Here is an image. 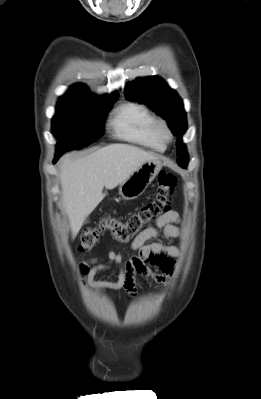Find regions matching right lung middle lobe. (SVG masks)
Segmentation results:
<instances>
[{"label": "right lung middle lobe", "mask_w": 261, "mask_h": 399, "mask_svg": "<svg viewBox=\"0 0 261 399\" xmlns=\"http://www.w3.org/2000/svg\"><path fill=\"white\" fill-rule=\"evenodd\" d=\"M117 99L59 100L52 119L57 152L80 149L102 136L104 118Z\"/></svg>", "instance_id": "1"}]
</instances>
